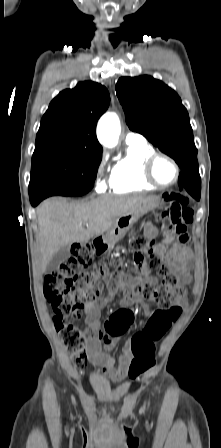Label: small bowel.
Returning <instances> with one entry per match:
<instances>
[{"label": "small bowel", "mask_w": 221, "mask_h": 448, "mask_svg": "<svg viewBox=\"0 0 221 448\" xmlns=\"http://www.w3.org/2000/svg\"><path fill=\"white\" fill-rule=\"evenodd\" d=\"M146 232L149 235H154L156 233V228L151 223H147ZM170 242H173V246L170 251H167L166 244ZM155 248L156 251L168 261L169 268L179 274L182 283L188 284L190 281L189 237L187 236L185 239L165 237V239L158 243ZM137 267L143 274L142 279H128L120 273H106L105 280L108 286L107 294L104 297L98 296L95 301L87 303L84 306L83 313L74 314V318L84 317L87 330L90 333L89 341L85 347L86 358L97 365L101 371L106 373L113 381L122 380L128 372V368L134 359L132 348L134 337L131 342L124 346L118 357H114L104 352L102 350V344L104 343L108 350L113 349L120 337L133 322L134 315L130 311V306L138 300L137 294L134 291V286L138 283L149 285L157 283V279L150 275L141 263L137 262ZM118 291L122 292V299L120 302L122 309L114 312L107 320V330L104 332L101 328V309L113 299ZM175 302L179 305L185 304V296L179 295L175 299ZM156 311V309L148 305L144 308L145 315L150 318ZM135 336H139L144 340L149 339V337L141 331L136 333Z\"/></svg>", "instance_id": "obj_1"}]
</instances>
